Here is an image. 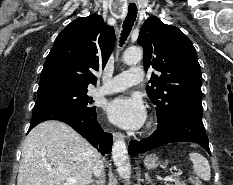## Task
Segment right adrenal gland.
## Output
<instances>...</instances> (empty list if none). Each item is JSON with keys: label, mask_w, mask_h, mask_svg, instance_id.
<instances>
[{"label": "right adrenal gland", "mask_w": 233, "mask_h": 185, "mask_svg": "<svg viewBox=\"0 0 233 185\" xmlns=\"http://www.w3.org/2000/svg\"><path fill=\"white\" fill-rule=\"evenodd\" d=\"M105 183V178L104 175L99 177L98 180L92 181L91 185H104Z\"/></svg>", "instance_id": "1"}]
</instances>
